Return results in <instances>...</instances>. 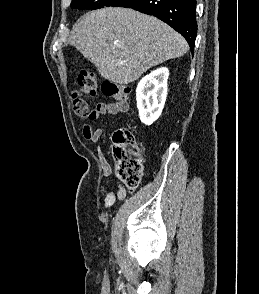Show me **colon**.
<instances>
[{
  "label": "colon",
  "instance_id": "1",
  "mask_svg": "<svg viewBox=\"0 0 259 294\" xmlns=\"http://www.w3.org/2000/svg\"><path fill=\"white\" fill-rule=\"evenodd\" d=\"M78 86L79 91H75L71 95L73 111L79 117H91L94 108L91 106L88 96H94L97 92L96 75L89 71L80 72ZM101 90L105 96L121 102L126 101L130 94L128 87L110 81L103 82ZM113 141L116 176L128 189L134 190L138 187L143 175L141 148L130 128L118 130L114 134Z\"/></svg>",
  "mask_w": 259,
  "mask_h": 294
}]
</instances>
